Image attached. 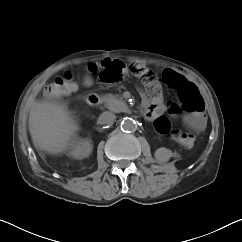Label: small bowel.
<instances>
[{
  "instance_id": "1",
  "label": "small bowel",
  "mask_w": 242,
  "mask_h": 242,
  "mask_svg": "<svg viewBox=\"0 0 242 242\" xmlns=\"http://www.w3.org/2000/svg\"><path fill=\"white\" fill-rule=\"evenodd\" d=\"M116 61V60H114ZM118 62V64L121 65V67L124 69V64L121 63L120 61H116ZM134 65H141L143 66L142 64H134ZM167 71H170L176 75H179L177 72H175L174 70L172 69H168L166 70L165 72ZM164 72V73H165ZM90 83V80L87 79L85 80V84H89ZM163 109V105L161 103V101H157L154 105H152L151 107L149 108H146L145 109V116L147 118H150L152 117L155 113L161 111ZM169 112L172 114V115H177L179 114V108L176 106V105H170L169 106ZM185 123L186 125L188 126V128L190 130H193V131H200L203 126H204V117L202 114H199V113H193L192 115H188L185 117ZM178 141L186 148H189L193 145V135L191 133H182L179 137H178Z\"/></svg>"
}]
</instances>
